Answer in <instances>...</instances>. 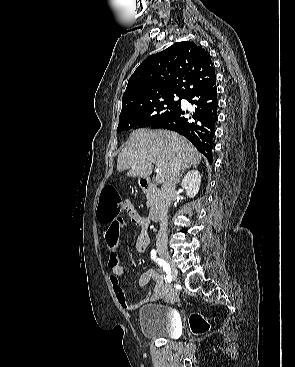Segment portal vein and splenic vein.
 <instances>
[{
    "instance_id": "obj_1",
    "label": "portal vein and splenic vein",
    "mask_w": 295,
    "mask_h": 367,
    "mask_svg": "<svg viewBox=\"0 0 295 367\" xmlns=\"http://www.w3.org/2000/svg\"><path fill=\"white\" fill-rule=\"evenodd\" d=\"M156 171H157L156 183H158V184L162 183L164 181V176L161 174L159 169H157Z\"/></svg>"
}]
</instances>
